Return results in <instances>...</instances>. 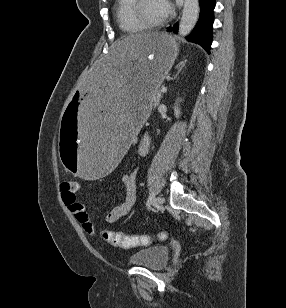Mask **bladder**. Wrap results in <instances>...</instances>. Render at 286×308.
Instances as JSON below:
<instances>
[{
	"label": "bladder",
	"instance_id": "bladder-1",
	"mask_svg": "<svg viewBox=\"0 0 286 308\" xmlns=\"http://www.w3.org/2000/svg\"><path fill=\"white\" fill-rule=\"evenodd\" d=\"M170 258V250L166 246H150L136 251L129 259L134 265L151 270H161Z\"/></svg>",
	"mask_w": 286,
	"mask_h": 308
}]
</instances>
